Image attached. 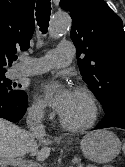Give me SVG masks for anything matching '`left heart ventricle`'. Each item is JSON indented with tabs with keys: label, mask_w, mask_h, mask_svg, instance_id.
I'll return each mask as SVG.
<instances>
[{
	"label": "left heart ventricle",
	"mask_w": 125,
	"mask_h": 167,
	"mask_svg": "<svg viewBox=\"0 0 125 167\" xmlns=\"http://www.w3.org/2000/svg\"><path fill=\"white\" fill-rule=\"evenodd\" d=\"M91 113V105L87 98L74 91L72 99L62 116L71 124L82 125L90 119Z\"/></svg>",
	"instance_id": "left-heart-ventricle-1"
}]
</instances>
